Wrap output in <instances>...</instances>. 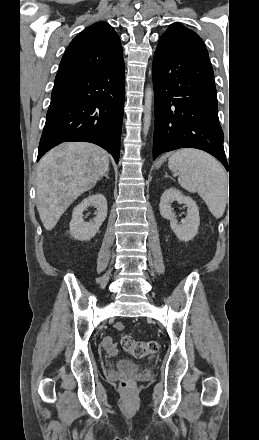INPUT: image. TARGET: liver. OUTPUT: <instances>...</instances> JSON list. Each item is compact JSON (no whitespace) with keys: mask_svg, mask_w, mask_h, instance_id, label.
Returning <instances> with one entry per match:
<instances>
[{"mask_svg":"<svg viewBox=\"0 0 259 440\" xmlns=\"http://www.w3.org/2000/svg\"><path fill=\"white\" fill-rule=\"evenodd\" d=\"M109 171V154L86 142H67L51 149L38 164L36 206L46 230L66 209Z\"/></svg>","mask_w":259,"mask_h":440,"instance_id":"1","label":"liver"}]
</instances>
